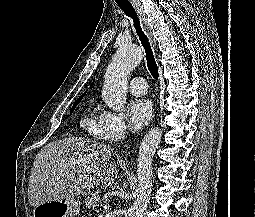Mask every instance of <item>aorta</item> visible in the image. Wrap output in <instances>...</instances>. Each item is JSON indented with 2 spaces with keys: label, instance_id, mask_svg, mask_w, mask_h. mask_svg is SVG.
Masks as SVG:
<instances>
[{
  "label": "aorta",
  "instance_id": "1",
  "mask_svg": "<svg viewBox=\"0 0 255 217\" xmlns=\"http://www.w3.org/2000/svg\"><path fill=\"white\" fill-rule=\"evenodd\" d=\"M143 51L131 44L121 45L109 63L102 98L114 111L123 109L126 103L128 76L141 62ZM162 138L159 128L150 130L143 138L137 160L138 187L136 198L129 210V217H143L152 191V159Z\"/></svg>",
  "mask_w": 255,
  "mask_h": 217
}]
</instances>
